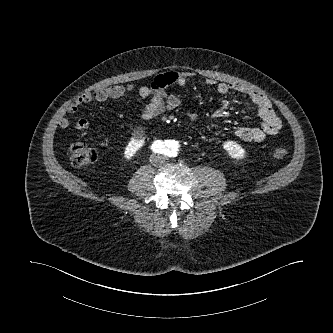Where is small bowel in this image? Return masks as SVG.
Instances as JSON below:
<instances>
[{
	"mask_svg": "<svg viewBox=\"0 0 333 333\" xmlns=\"http://www.w3.org/2000/svg\"><path fill=\"white\" fill-rule=\"evenodd\" d=\"M189 76L190 74L187 72L167 71L157 75L149 86L142 85L136 88L134 85L130 84L126 86L115 85L99 88L94 92H88L78 97L67 108L66 113L75 114L79 106L83 104H89L92 101L104 102L109 99H118L128 93L136 91L141 98L149 99V102L141 113V118L143 120H151L166 111L174 110L179 107L180 99L168 93L167 89L172 85L179 87L185 86ZM205 83L208 86L215 87L217 92L221 95L227 94L231 90L247 95L255 106L261 121L260 126H242L237 128L235 135L238 139L246 142H261L267 136H273L280 132L282 121L275 113L270 101L262 93L241 85L217 82L211 78H207ZM58 124L61 128H67L70 125V120L68 117L62 116ZM88 126L89 122L85 118L78 119L74 124L77 130H85Z\"/></svg>",
	"mask_w": 333,
	"mask_h": 333,
	"instance_id": "small-bowel-1",
	"label": "small bowel"
}]
</instances>
